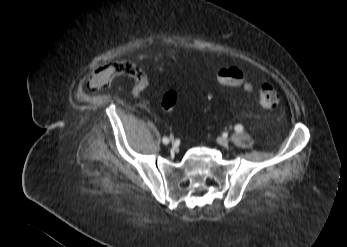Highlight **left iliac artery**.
Masks as SVG:
<instances>
[{
  "instance_id": "left-iliac-artery-1",
  "label": "left iliac artery",
  "mask_w": 347,
  "mask_h": 247,
  "mask_svg": "<svg viewBox=\"0 0 347 247\" xmlns=\"http://www.w3.org/2000/svg\"><path fill=\"white\" fill-rule=\"evenodd\" d=\"M235 131L238 132V133L242 132L243 131V126L241 124L236 125L235 126Z\"/></svg>"
}]
</instances>
